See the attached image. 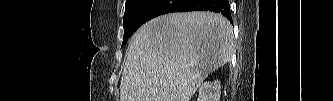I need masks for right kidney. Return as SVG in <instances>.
I'll return each mask as SVG.
<instances>
[{
  "instance_id": "1",
  "label": "right kidney",
  "mask_w": 333,
  "mask_h": 101,
  "mask_svg": "<svg viewBox=\"0 0 333 101\" xmlns=\"http://www.w3.org/2000/svg\"><path fill=\"white\" fill-rule=\"evenodd\" d=\"M221 94V82H204L199 88L198 101H219Z\"/></svg>"
}]
</instances>
